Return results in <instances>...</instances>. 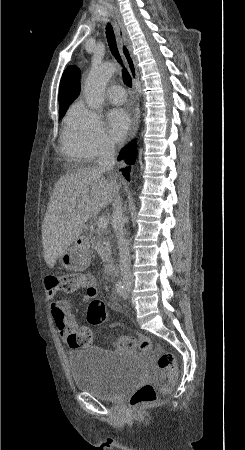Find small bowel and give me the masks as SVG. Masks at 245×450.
Masks as SVG:
<instances>
[{
	"mask_svg": "<svg viewBox=\"0 0 245 450\" xmlns=\"http://www.w3.org/2000/svg\"><path fill=\"white\" fill-rule=\"evenodd\" d=\"M84 288L85 293L82 296L83 302H90L97 298L98 290L91 278H87L81 285L71 289L78 290ZM50 305L51 317L60 337L69 344L70 347H78L71 339V334L75 333L79 327L71 312V304L64 299L58 298V290L51 289L47 291ZM115 307V304H110Z\"/></svg>",
	"mask_w": 245,
	"mask_h": 450,
	"instance_id": "1",
	"label": "small bowel"
}]
</instances>
